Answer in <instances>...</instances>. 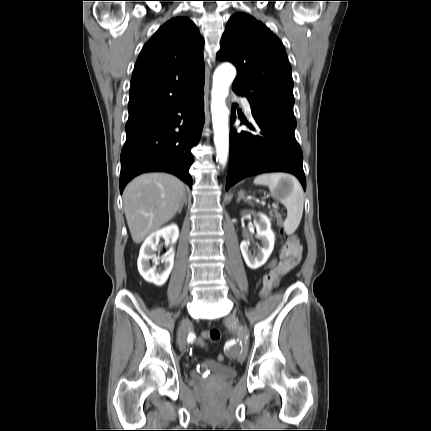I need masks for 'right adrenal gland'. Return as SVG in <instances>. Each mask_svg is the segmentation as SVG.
Returning <instances> with one entry per match:
<instances>
[{
  "label": "right adrenal gland",
  "instance_id": "1",
  "mask_svg": "<svg viewBox=\"0 0 431 431\" xmlns=\"http://www.w3.org/2000/svg\"><path fill=\"white\" fill-rule=\"evenodd\" d=\"M184 204L187 205V195H186V193H184L183 200H182L181 205H180V207L178 209V213H181Z\"/></svg>",
  "mask_w": 431,
  "mask_h": 431
}]
</instances>
